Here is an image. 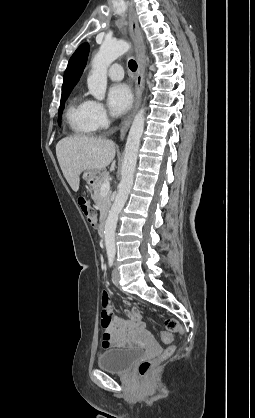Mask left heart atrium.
I'll use <instances>...</instances> for the list:
<instances>
[{
  "label": "left heart atrium",
  "instance_id": "1",
  "mask_svg": "<svg viewBox=\"0 0 255 418\" xmlns=\"http://www.w3.org/2000/svg\"><path fill=\"white\" fill-rule=\"evenodd\" d=\"M132 93L125 84H114L108 91V105L114 115L124 114L132 105Z\"/></svg>",
  "mask_w": 255,
  "mask_h": 418
}]
</instances>
